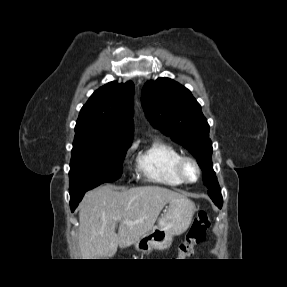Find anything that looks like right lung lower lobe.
I'll return each mask as SVG.
<instances>
[{"instance_id": "obj_1", "label": "right lung lower lobe", "mask_w": 287, "mask_h": 287, "mask_svg": "<svg viewBox=\"0 0 287 287\" xmlns=\"http://www.w3.org/2000/svg\"><path fill=\"white\" fill-rule=\"evenodd\" d=\"M96 186H98V184L96 185H92V186H89V187H86L85 189H83L82 191L80 192H77L73 195H70L71 197V200H70V207H71V211L73 212L75 210V208L78 206V203L82 200L84 194L90 190V189H93L95 188Z\"/></svg>"}]
</instances>
